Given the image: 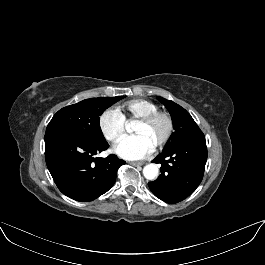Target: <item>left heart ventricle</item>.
I'll return each instance as SVG.
<instances>
[{
	"label": "left heart ventricle",
	"instance_id": "b2bd125f",
	"mask_svg": "<svg viewBox=\"0 0 265 265\" xmlns=\"http://www.w3.org/2000/svg\"><path fill=\"white\" fill-rule=\"evenodd\" d=\"M166 130V123L162 118L156 119L150 124L137 122L133 132L144 135L153 147L162 139Z\"/></svg>",
	"mask_w": 265,
	"mask_h": 265
}]
</instances>
